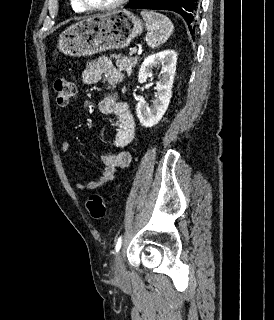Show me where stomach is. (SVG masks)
I'll return each instance as SVG.
<instances>
[{
	"instance_id": "stomach-1",
	"label": "stomach",
	"mask_w": 274,
	"mask_h": 320,
	"mask_svg": "<svg viewBox=\"0 0 274 320\" xmlns=\"http://www.w3.org/2000/svg\"><path fill=\"white\" fill-rule=\"evenodd\" d=\"M143 26L142 20L127 10L95 14L64 30L59 36L58 48L72 58L121 50L142 34Z\"/></svg>"
}]
</instances>
